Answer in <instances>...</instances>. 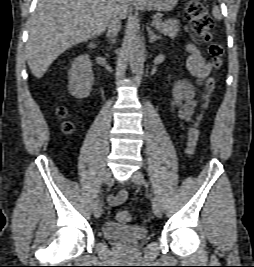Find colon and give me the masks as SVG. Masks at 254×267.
<instances>
[{
  "mask_svg": "<svg viewBox=\"0 0 254 267\" xmlns=\"http://www.w3.org/2000/svg\"><path fill=\"white\" fill-rule=\"evenodd\" d=\"M186 16L191 24L194 33L208 43V52L212 58V64L215 70L222 65V57L224 49L221 44L216 42L213 37V19L209 15L204 3L201 0H189L185 8ZM214 87V77L211 76L206 82L205 93L203 95V106L207 103L209 96ZM59 117H65L67 110L60 106L57 108ZM201 115H198L192 123L187 133V153L192 155L195 152L199 139V122ZM63 131L71 133L73 131V124L69 121L63 123ZM116 218L120 223H128L131 220V215L126 210L117 212Z\"/></svg>",
  "mask_w": 254,
  "mask_h": 267,
  "instance_id": "colon-1",
  "label": "colon"
}]
</instances>
